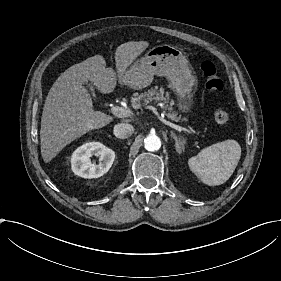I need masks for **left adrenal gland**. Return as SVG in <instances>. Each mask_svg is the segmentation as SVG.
Segmentation results:
<instances>
[{"mask_svg": "<svg viewBox=\"0 0 281 281\" xmlns=\"http://www.w3.org/2000/svg\"><path fill=\"white\" fill-rule=\"evenodd\" d=\"M171 136L174 138L175 140V150L177 152H179V148H180V143H181V139L182 136L181 135H177L174 131H170Z\"/></svg>", "mask_w": 281, "mask_h": 281, "instance_id": "obj_1", "label": "left adrenal gland"}]
</instances>
